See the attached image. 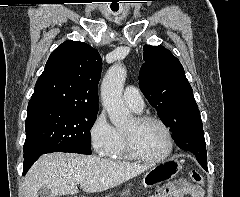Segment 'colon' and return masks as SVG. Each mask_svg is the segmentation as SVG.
I'll list each match as a JSON object with an SVG mask.
<instances>
[{
    "instance_id": "1",
    "label": "colon",
    "mask_w": 240,
    "mask_h": 197,
    "mask_svg": "<svg viewBox=\"0 0 240 197\" xmlns=\"http://www.w3.org/2000/svg\"><path fill=\"white\" fill-rule=\"evenodd\" d=\"M190 179L192 182H194L195 184H202L203 183V176L201 173H199L198 171H191L190 172ZM166 190H161L158 194V197H166Z\"/></svg>"
}]
</instances>
